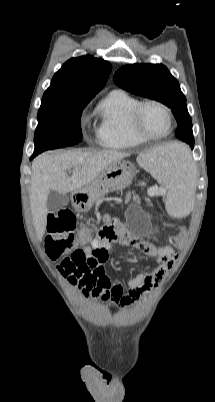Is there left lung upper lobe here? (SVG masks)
Listing matches in <instances>:
<instances>
[{
    "label": "left lung upper lobe",
    "mask_w": 215,
    "mask_h": 402,
    "mask_svg": "<svg viewBox=\"0 0 215 402\" xmlns=\"http://www.w3.org/2000/svg\"><path fill=\"white\" fill-rule=\"evenodd\" d=\"M115 83L133 94L159 101L172 109L177 120L175 135L194 147L191 117L179 83L162 64H131L121 67Z\"/></svg>",
    "instance_id": "1"
}]
</instances>
